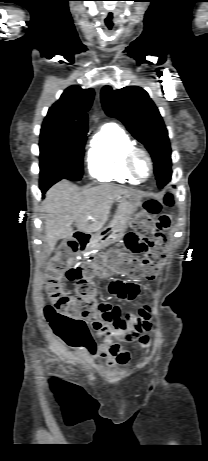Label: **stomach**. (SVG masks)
I'll list each match as a JSON object with an SVG mask.
<instances>
[{"mask_svg":"<svg viewBox=\"0 0 208 461\" xmlns=\"http://www.w3.org/2000/svg\"><path fill=\"white\" fill-rule=\"evenodd\" d=\"M140 206V197L137 195L121 196L114 218L105 228L92 235L88 248L90 250H101L109 244L122 239L127 227L132 223L133 214Z\"/></svg>","mask_w":208,"mask_h":461,"instance_id":"1","label":"stomach"}]
</instances>
